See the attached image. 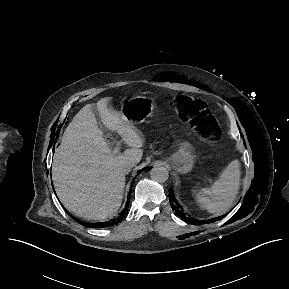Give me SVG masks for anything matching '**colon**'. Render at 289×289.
Returning a JSON list of instances; mask_svg holds the SVG:
<instances>
[{
  "instance_id": "5ec220e1",
  "label": "colon",
  "mask_w": 289,
  "mask_h": 289,
  "mask_svg": "<svg viewBox=\"0 0 289 289\" xmlns=\"http://www.w3.org/2000/svg\"><path fill=\"white\" fill-rule=\"evenodd\" d=\"M174 104L179 113L201 137L207 140L216 139L217 129L204 101L198 98L178 96L174 99Z\"/></svg>"
}]
</instances>
